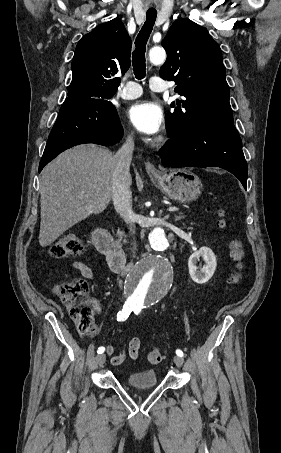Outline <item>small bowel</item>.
<instances>
[{
  "instance_id": "c3829d8e",
  "label": "small bowel",
  "mask_w": 281,
  "mask_h": 453,
  "mask_svg": "<svg viewBox=\"0 0 281 453\" xmlns=\"http://www.w3.org/2000/svg\"><path fill=\"white\" fill-rule=\"evenodd\" d=\"M69 270H75V271L80 272L82 274V276L88 280H92L94 278L93 270L87 264H85L79 260L73 261L69 266ZM66 277H68V272H65V273H62L61 275H59V278H66ZM62 292H63V288H62L61 284L59 282H55L52 285L53 295L56 298H60ZM91 307L94 310L97 317L100 318L103 316L104 313L100 307L99 302H97V301L92 302ZM140 347H141L140 339L137 337L133 338L125 349H123L119 354L112 356L110 358V364L120 365L125 361V359L127 357H129L132 360L137 359ZM105 350L109 354H113V352H114V348L110 345L107 346Z\"/></svg>"
}]
</instances>
